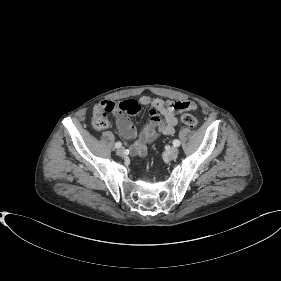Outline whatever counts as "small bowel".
Instances as JSON below:
<instances>
[{
	"label": "small bowel",
	"instance_id": "small-bowel-1",
	"mask_svg": "<svg viewBox=\"0 0 281 281\" xmlns=\"http://www.w3.org/2000/svg\"><path fill=\"white\" fill-rule=\"evenodd\" d=\"M190 101H164L160 98L142 96L138 101L126 100L115 103L113 101H102L95 105L94 112L103 110L109 105L115 106L114 113L118 116V132L124 140H132L136 136V128L127 114H136L138 110L130 112L128 105L135 103L138 107L149 106V119L145 123L139 138L130 146V153L133 156H141L146 153L147 145L156 140L159 135L169 136L174 134L178 124V113L184 110H194L196 105L190 102L192 107L185 108L183 105ZM161 114L164 120H161Z\"/></svg>",
	"mask_w": 281,
	"mask_h": 281
}]
</instances>
